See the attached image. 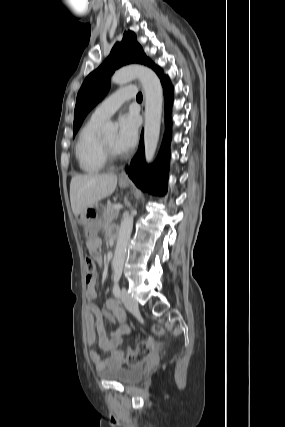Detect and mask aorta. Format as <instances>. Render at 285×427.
Instances as JSON below:
<instances>
[{"instance_id": "obj_1", "label": "aorta", "mask_w": 285, "mask_h": 427, "mask_svg": "<svg viewBox=\"0 0 285 427\" xmlns=\"http://www.w3.org/2000/svg\"><path fill=\"white\" fill-rule=\"evenodd\" d=\"M138 78L143 86L145 94V125H144V148L145 159L150 163L155 155L161 125L162 116V87L158 76L154 71L142 65H131L115 72L111 78L112 83L122 85ZM118 126L112 122H107L103 126L105 134H115ZM136 210L125 217L121 222L112 267L115 270H122L128 241L133 228V218Z\"/></svg>"}]
</instances>
